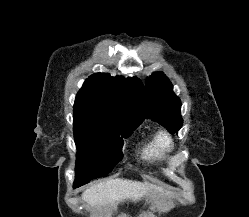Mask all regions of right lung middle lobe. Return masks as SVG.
I'll list each match as a JSON object with an SVG mask.
<instances>
[{"label":"right lung middle lobe","mask_w":249,"mask_h":217,"mask_svg":"<svg viewBox=\"0 0 249 217\" xmlns=\"http://www.w3.org/2000/svg\"><path fill=\"white\" fill-rule=\"evenodd\" d=\"M73 112L78 150L75 180L86 184L106 176L121 161L123 138H127L137 126H130L110 114L86 106H74Z\"/></svg>","instance_id":"obj_1"}]
</instances>
